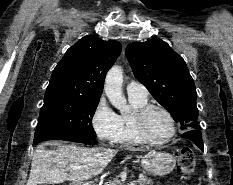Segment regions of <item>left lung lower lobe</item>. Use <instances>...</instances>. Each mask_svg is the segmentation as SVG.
I'll return each instance as SVG.
<instances>
[{"label": "left lung lower lobe", "instance_id": "1", "mask_svg": "<svg viewBox=\"0 0 233 185\" xmlns=\"http://www.w3.org/2000/svg\"><path fill=\"white\" fill-rule=\"evenodd\" d=\"M181 137L190 139L203 151V141H202L200 131H198V130L188 131V132L182 134Z\"/></svg>", "mask_w": 233, "mask_h": 185}]
</instances>
